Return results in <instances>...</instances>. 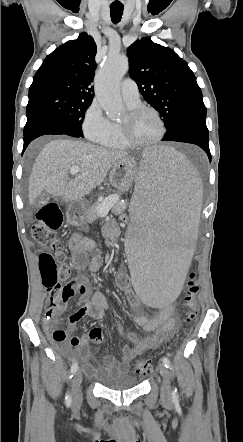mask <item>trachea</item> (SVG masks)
I'll return each mask as SVG.
<instances>
[{"mask_svg": "<svg viewBox=\"0 0 243 442\" xmlns=\"http://www.w3.org/2000/svg\"><path fill=\"white\" fill-rule=\"evenodd\" d=\"M123 6H111L110 7V16L113 23H118L123 15Z\"/></svg>", "mask_w": 243, "mask_h": 442, "instance_id": "1", "label": "trachea"}]
</instances>
